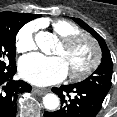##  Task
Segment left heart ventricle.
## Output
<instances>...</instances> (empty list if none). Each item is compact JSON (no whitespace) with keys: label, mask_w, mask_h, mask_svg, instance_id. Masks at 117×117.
Returning a JSON list of instances; mask_svg holds the SVG:
<instances>
[{"label":"left heart ventricle","mask_w":117,"mask_h":117,"mask_svg":"<svg viewBox=\"0 0 117 117\" xmlns=\"http://www.w3.org/2000/svg\"><path fill=\"white\" fill-rule=\"evenodd\" d=\"M56 55L64 60L68 71L77 72L90 63L92 49L88 42L83 41L69 51H65L62 45H60L56 51Z\"/></svg>","instance_id":"b2bd125f"}]
</instances>
